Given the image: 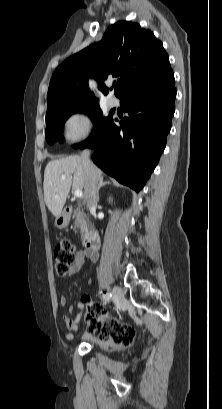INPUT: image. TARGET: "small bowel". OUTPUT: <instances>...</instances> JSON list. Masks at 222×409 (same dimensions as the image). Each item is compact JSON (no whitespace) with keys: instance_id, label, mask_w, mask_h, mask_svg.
<instances>
[{"instance_id":"c3829d8e","label":"small bowel","mask_w":222,"mask_h":409,"mask_svg":"<svg viewBox=\"0 0 222 409\" xmlns=\"http://www.w3.org/2000/svg\"><path fill=\"white\" fill-rule=\"evenodd\" d=\"M88 258L90 261L92 262H96L98 259L97 253L95 252H88L86 250H80L78 251L76 258L73 262V264L71 265L69 271L66 274V278L71 277L72 275H74L75 273H77L81 267L82 264L84 262V259ZM60 304L65 307L68 305V298L66 296H61L60 298ZM77 308L79 310V313L75 316L72 317L69 313H66L63 315V322L66 326L67 331L65 332L64 336L66 338V340H72L74 337V332L78 330L79 327V322L85 312V305L83 303H79L77 304ZM85 338H89L88 335L85 336ZM100 341V345L104 348V349H121L124 346L130 345V343L123 345V344H118L116 343L113 339H99Z\"/></svg>"}]
</instances>
